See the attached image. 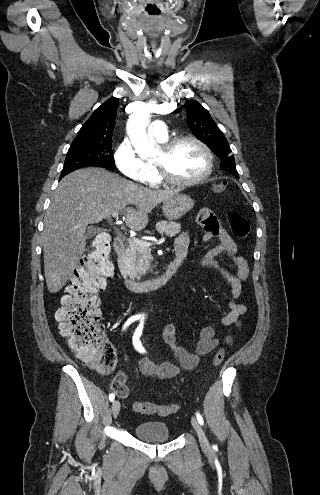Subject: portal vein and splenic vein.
<instances>
[{
    "mask_svg": "<svg viewBox=\"0 0 320 495\" xmlns=\"http://www.w3.org/2000/svg\"><path fill=\"white\" fill-rule=\"evenodd\" d=\"M119 215V212L116 211V212H113L112 213V217L113 218H117ZM136 244L142 246V247H149L151 244L148 243V242H145V241H141V240H138V239H132ZM164 238H162L161 240L158 241L159 244L163 243L164 242Z\"/></svg>",
    "mask_w": 320,
    "mask_h": 495,
    "instance_id": "obj_1",
    "label": "portal vein and splenic vein"
}]
</instances>
